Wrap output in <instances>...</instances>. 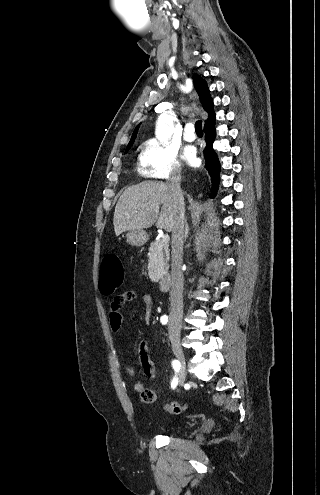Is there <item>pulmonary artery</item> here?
I'll list each match as a JSON object with an SVG mask.
<instances>
[{"label":"pulmonary artery","mask_w":320,"mask_h":495,"mask_svg":"<svg viewBox=\"0 0 320 495\" xmlns=\"http://www.w3.org/2000/svg\"><path fill=\"white\" fill-rule=\"evenodd\" d=\"M183 137L186 141L195 140L196 136H195L194 127L192 124L189 123L185 126Z\"/></svg>","instance_id":"pulmonary-artery-1"}]
</instances>
